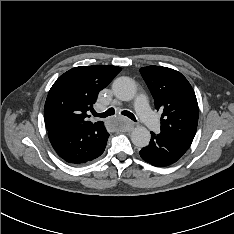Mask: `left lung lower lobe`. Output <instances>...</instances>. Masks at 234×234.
Masks as SVG:
<instances>
[{
  "label": "left lung lower lobe",
  "mask_w": 234,
  "mask_h": 234,
  "mask_svg": "<svg viewBox=\"0 0 234 234\" xmlns=\"http://www.w3.org/2000/svg\"><path fill=\"white\" fill-rule=\"evenodd\" d=\"M185 152L186 150L162 133L151 132L150 143L142 148L140 156L151 165L163 167L178 161Z\"/></svg>",
  "instance_id": "obj_1"
}]
</instances>
